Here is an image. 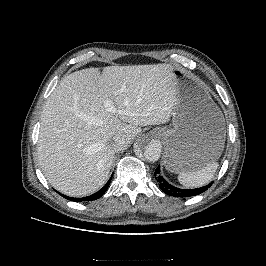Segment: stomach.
Instances as JSON below:
<instances>
[{
	"instance_id": "obj_1",
	"label": "stomach",
	"mask_w": 266,
	"mask_h": 266,
	"mask_svg": "<svg viewBox=\"0 0 266 266\" xmlns=\"http://www.w3.org/2000/svg\"><path fill=\"white\" fill-rule=\"evenodd\" d=\"M176 78L173 128H157L166 145L164 165L173 173L199 170L215 162L224 149L225 119L203 83L180 68Z\"/></svg>"
}]
</instances>
